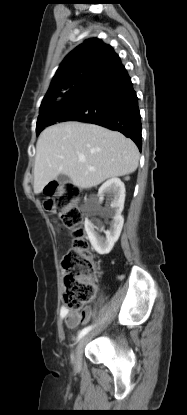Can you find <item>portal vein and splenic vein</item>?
<instances>
[{
	"label": "portal vein and splenic vein",
	"instance_id": "18ae733b",
	"mask_svg": "<svg viewBox=\"0 0 187 415\" xmlns=\"http://www.w3.org/2000/svg\"><path fill=\"white\" fill-rule=\"evenodd\" d=\"M81 162H84V158L79 159ZM90 170H94L93 168H89Z\"/></svg>",
	"mask_w": 187,
	"mask_h": 415
}]
</instances>
